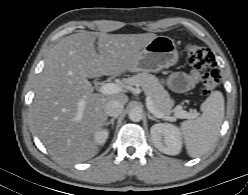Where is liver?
Returning a JSON list of instances; mask_svg holds the SVG:
<instances>
[{
	"mask_svg": "<svg viewBox=\"0 0 248 195\" xmlns=\"http://www.w3.org/2000/svg\"><path fill=\"white\" fill-rule=\"evenodd\" d=\"M99 54L95 50V40ZM154 33L106 34L81 31L61 39L49 52L31 109L34 130L60 162H83L99 148L94 134L107 121L106 104L125 94L94 93L88 78L131 71ZM84 102L83 109L79 103Z\"/></svg>",
	"mask_w": 248,
	"mask_h": 195,
	"instance_id": "obj_1",
	"label": "liver"
}]
</instances>
